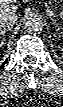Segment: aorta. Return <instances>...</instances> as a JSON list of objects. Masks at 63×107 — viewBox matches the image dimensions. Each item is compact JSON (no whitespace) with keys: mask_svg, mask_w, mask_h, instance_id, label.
Masks as SVG:
<instances>
[{"mask_svg":"<svg viewBox=\"0 0 63 107\" xmlns=\"http://www.w3.org/2000/svg\"><path fill=\"white\" fill-rule=\"evenodd\" d=\"M43 29V22L38 17H29L25 22V30L29 34H39Z\"/></svg>","mask_w":63,"mask_h":107,"instance_id":"obj_1","label":"aorta"}]
</instances>
